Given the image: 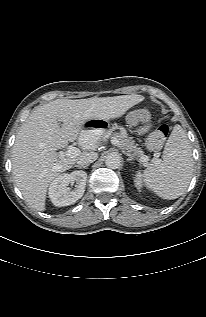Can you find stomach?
Instances as JSON below:
<instances>
[{"label": "stomach", "instance_id": "0dacf381", "mask_svg": "<svg viewBox=\"0 0 206 317\" xmlns=\"http://www.w3.org/2000/svg\"><path fill=\"white\" fill-rule=\"evenodd\" d=\"M127 116V115H126ZM126 116L123 120L124 129L127 132H136L137 128H130L126 124ZM115 128V121L112 118L92 119L85 122L83 129L79 130L76 140L79 145L88 147L99 142V140L107 138ZM141 132V130H139Z\"/></svg>", "mask_w": 206, "mask_h": 317}]
</instances>
